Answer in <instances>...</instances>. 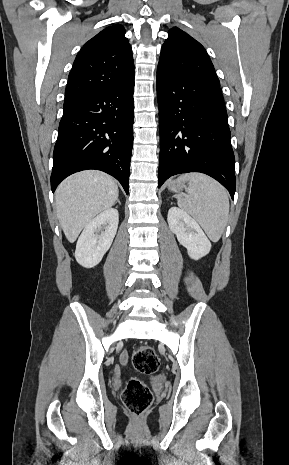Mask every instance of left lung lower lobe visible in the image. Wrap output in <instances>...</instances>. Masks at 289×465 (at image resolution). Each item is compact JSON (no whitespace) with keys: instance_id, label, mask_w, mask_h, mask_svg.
Returning <instances> with one entry per match:
<instances>
[{"instance_id":"left-lung-lower-lobe-1","label":"left lung lower lobe","mask_w":289,"mask_h":465,"mask_svg":"<svg viewBox=\"0 0 289 465\" xmlns=\"http://www.w3.org/2000/svg\"><path fill=\"white\" fill-rule=\"evenodd\" d=\"M160 162L158 187L169 177L205 173L235 193V158L220 86L157 72Z\"/></svg>"}]
</instances>
